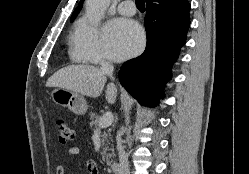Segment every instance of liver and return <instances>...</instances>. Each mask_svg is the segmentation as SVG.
Returning <instances> with one entry per match:
<instances>
[{
	"label": "liver",
	"mask_w": 249,
	"mask_h": 174,
	"mask_svg": "<svg viewBox=\"0 0 249 174\" xmlns=\"http://www.w3.org/2000/svg\"><path fill=\"white\" fill-rule=\"evenodd\" d=\"M106 74L91 65H70L58 70L46 82L47 87H60L81 95L96 98L100 96ZM117 89L113 83L107 85L105 97L108 103H115Z\"/></svg>",
	"instance_id": "6515ba94"
}]
</instances>
